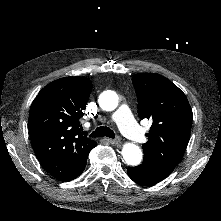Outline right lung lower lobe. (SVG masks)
I'll return each instance as SVG.
<instances>
[{
	"label": "right lung lower lobe",
	"instance_id": "right-lung-lower-lobe-1",
	"mask_svg": "<svg viewBox=\"0 0 221 221\" xmlns=\"http://www.w3.org/2000/svg\"><path fill=\"white\" fill-rule=\"evenodd\" d=\"M86 161H87V160H86ZM85 166H86V162H85L83 165H81V166L79 167V169H78L76 172H74V173H73L68 179H66L65 181L73 180L74 178H76L77 176H79V175L83 172Z\"/></svg>",
	"mask_w": 221,
	"mask_h": 221
}]
</instances>
